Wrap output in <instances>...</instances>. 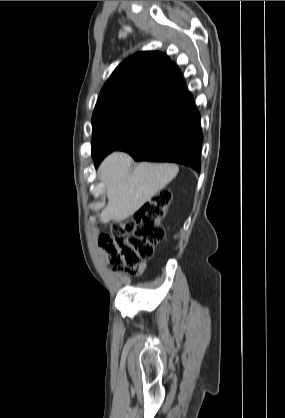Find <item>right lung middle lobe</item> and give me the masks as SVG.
Masks as SVG:
<instances>
[{
    "instance_id": "obj_1",
    "label": "right lung middle lobe",
    "mask_w": 285,
    "mask_h": 418,
    "mask_svg": "<svg viewBox=\"0 0 285 418\" xmlns=\"http://www.w3.org/2000/svg\"><path fill=\"white\" fill-rule=\"evenodd\" d=\"M172 109L140 101L112 104L94 111L92 156L104 158L121 150L165 119Z\"/></svg>"
}]
</instances>
